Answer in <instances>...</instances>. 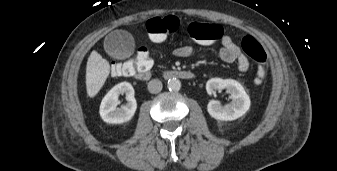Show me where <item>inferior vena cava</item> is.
Returning <instances> with one entry per match:
<instances>
[{
  "label": "inferior vena cava",
  "mask_w": 337,
  "mask_h": 171,
  "mask_svg": "<svg viewBox=\"0 0 337 171\" xmlns=\"http://www.w3.org/2000/svg\"><path fill=\"white\" fill-rule=\"evenodd\" d=\"M163 88L162 82L158 79H153L148 83V90L150 93H159Z\"/></svg>",
  "instance_id": "602c4592"
}]
</instances>
